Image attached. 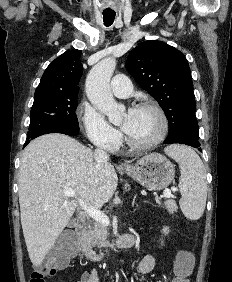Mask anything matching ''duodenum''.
I'll return each mask as SVG.
<instances>
[{
	"label": "duodenum",
	"mask_w": 232,
	"mask_h": 282,
	"mask_svg": "<svg viewBox=\"0 0 232 282\" xmlns=\"http://www.w3.org/2000/svg\"><path fill=\"white\" fill-rule=\"evenodd\" d=\"M76 240L80 251L84 256L91 261H99L106 256V254L113 248H130L134 245L135 239L132 235L124 234L115 239L104 251L95 253L92 251L88 240L87 230L83 225L76 228Z\"/></svg>",
	"instance_id": "obj_1"
}]
</instances>
